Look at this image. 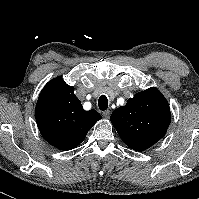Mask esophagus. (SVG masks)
Returning a JSON list of instances; mask_svg holds the SVG:
<instances>
[{
  "mask_svg": "<svg viewBox=\"0 0 199 199\" xmlns=\"http://www.w3.org/2000/svg\"><path fill=\"white\" fill-rule=\"evenodd\" d=\"M102 115H103L104 118H109V116H110V110L104 111V112L102 113Z\"/></svg>",
  "mask_w": 199,
  "mask_h": 199,
  "instance_id": "34e87169",
  "label": "esophagus"
}]
</instances>
